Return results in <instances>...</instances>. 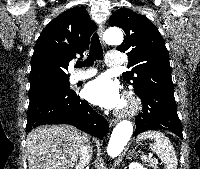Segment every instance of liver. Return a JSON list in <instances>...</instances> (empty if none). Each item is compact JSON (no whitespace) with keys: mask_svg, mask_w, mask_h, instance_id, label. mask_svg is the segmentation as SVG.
<instances>
[{"mask_svg":"<svg viewBox=\"0 0 200 169\" xmlns=\"http://www.w3.org/2000/svg\"><path fill=\"white\" fill-rule=\"evenodd\" d=\"M88 135L70 125L40 126L26 139L28 169H73Z\"/></svg>","mask_w":200,"mask_h":169,"instance_id":"6515ba94","label":"liver"}]
</instances>
